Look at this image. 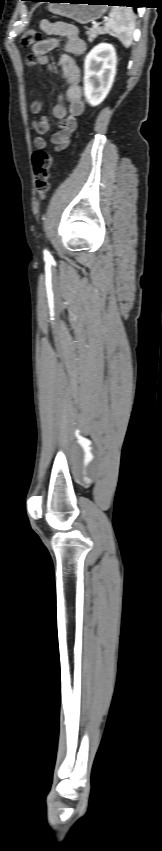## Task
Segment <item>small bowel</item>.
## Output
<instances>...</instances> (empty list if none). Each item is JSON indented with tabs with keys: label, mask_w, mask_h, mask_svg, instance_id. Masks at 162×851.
<instances>
[{
	"label": "small bowel",
	"mask_w": 162,
	"mask_h": 851,
	"mask_svg": "<svg viewBox=\"0 0 162 851\" xmlns=\"http://www.w3.org/2000/svg\"><path fill=\"white\" fill-rule=\"evenodd\" d=\"M40 28L47 38L32 46V51L26 59L27 64L30 67L46 65L53 71L47 54L58 46L60 39H64V48L67 53L61 56L59 63L67 88L61 97V102L52 109L53 117L59 121V130L48 139L44 138L42 135L49 131L50 124L48 117L42 116L33 123V129L41 135L34 139V146L37 149H44L51 144L56 151H62L69 145L70 137L77 127L76 117L80 116L85 108L80 87V69L71 55L83 54L86 43L81 39L77 27L63 21L44 19L40 22ZM41 110V101L33 100L30 105L31 113L39 114Z\"/></svg>",
	"instance_id": "obj_1"
}]
</instances>
